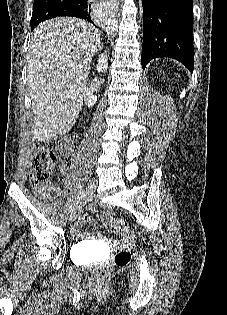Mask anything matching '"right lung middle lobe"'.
Listing matches in <instances>:
<instances>
[{
    "label": "right lung middle lobe",
    "mask_w": 227,
    "mask_h": 315,
    "mask_svg": "<svg viewBox=\"0 0 227 315\" xmlns=\"http://www.w3.org/2000/svg\"><path fill=\"white\" fill-rule=\"evenodd\" d=\"M75 0H34V8L30 21L31 31L42 21L57 17L56 13L72 6Z\"/></svg>",
    "instance_id": "obj_1"
}]
</instances>
